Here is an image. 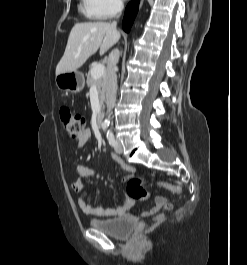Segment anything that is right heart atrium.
Here are the masks:
<instances>
[{"label": "right heart atrium", "mask_w": 247, "mask_h": 265, "mask_svg": "<svg viewBox=\"0 0 247 265\" xmlns=\"http://www.w3.org/2000/svg\"><path fill=\"white\" fill-rule=\"evenodd\" d=\"M86 14L93 19H108L122 9L121 0H83Z\"/></svg>", "instance_id": "right-heart-atrium-1"}]
</instances>
